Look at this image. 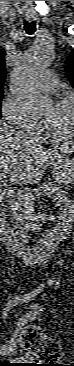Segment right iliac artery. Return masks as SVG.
<instances>
[{
  "label": "right iliac artery",
  "instance_id": "right-iliac-artery-1",
  "mask_svg": "<svg viewBox=\"0 0 74 366\" xmlns=\"http://www.w3.org/2000/svg\"><path fill=\"white\" fill-rule=\"evenodd\" d=\"M28 298L27 297H22V296H16L13 299H11L7 305L6 308L4 309V317L7 315V312L9 311V309L15 305H17L18 303L22 302V301H26Z\"/></svg>",
  "mask_w": 74,
  "mask_h": 366
}]
</instances>
